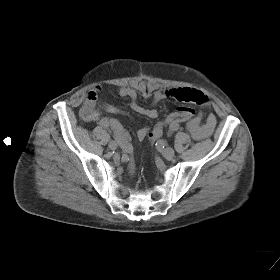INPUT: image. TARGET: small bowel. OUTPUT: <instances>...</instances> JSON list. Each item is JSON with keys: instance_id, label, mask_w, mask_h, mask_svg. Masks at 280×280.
Here are the masks:
<instances>
[{"instance_id": "obj_1", "label": "small bowel", "mask_w": 280, "mask_h": 280, "mask_svg": "<svg viewBox=\"0 0 280 280\" xmlns=\"http://www.w3.org/2000/svg\"><path fill=\"white\" fill-rule=\"evenodd\" d=\"M100 91L101 87L96 86L88 92L85 98V101L80 109V116L85 122L99 120L103 112L125 114L122 109L101 102L98 97ZM118 94L122 98H128L131 100V108L136 113L151 119L157 117L158 113L154 106L145 108L137 103V92L134 88L127 86L120 87L118 89ZM166 99H173L183 103H193L199 106H208L209 104L208 98L203 92L192 88L163 89L158 90L153 94L154 104ZM185 122L188 132L195 140H203L211 136L217 124L215 115L209 114L206 119L203 120L202 112L195 113ZM110 123L114 130L119 131L123 136L128 138L118 121L111 119ZM148 131L149 129L147 127L141 128L137 132L138 139L143 140ZM129 169L131 172H134L135 168L132 162L129 164Z\"/></svg>"}]
</instances>
